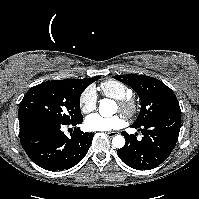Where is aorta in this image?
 <instances>
[{
    "label": "aorta",
    "mask_w": 199,
    "mask_h": 199,
    "mask_svg": "<svg viewBox=\"0 0 199 199\" xmlns=\"http://www.w3.org/2000/svg\"><path fill=\"white\" fill-rule=\"evenodd\" d=\"M117 111V104L111 99H102L99 105V113L103 117H111ZM112 144L115 148H122L125 145V138L121 135H116L112 139Z\"/></svg>",
    "instance_id": "1"
}]
</instances>
